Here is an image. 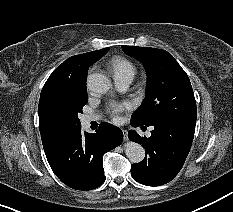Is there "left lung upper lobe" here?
Returning a JSON list of instances; mask_svg holds the SVG:
<instances>
[{"instance_id":"1","label":"left lung upper lobe","mask_w":233,"mask_h":212,"mask_svg":"<svg viewBox=\"0 0 233 212\" xmlns=\"http://www.w3.org/2000/svg\"><path fill=\"white\" fill-rule=\"evenodd\" d=\"M125 53L140 60L147 71L146 97L131 121L150 126L159 120L196 124L197 107L188 75L165 50L123 45Z\"/></svg>"}]
</instances>
